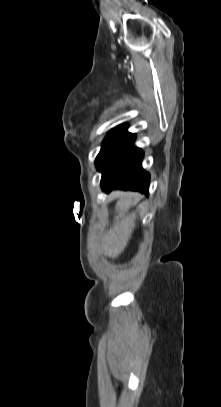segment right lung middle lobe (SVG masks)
Returning <instances> with one entry per match:
<instances>
[{
	"mask_svg": "<svg viewBox=\"0 0 221 407\" xmlns=\"http://www.w3.org/2000/svg\"><path fill=\"white\" fill-rule=\"evenodd\" d=\"M133 136L134 134L127 132L126 128L110 131L95 161L98 171H102Z\"/></svg>",
	"mask_w": 221,
	"mask_h": 407,
	"instance_id": "1",
	"label": "right lung middle lobe"
}]
</instances>
